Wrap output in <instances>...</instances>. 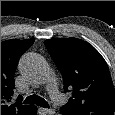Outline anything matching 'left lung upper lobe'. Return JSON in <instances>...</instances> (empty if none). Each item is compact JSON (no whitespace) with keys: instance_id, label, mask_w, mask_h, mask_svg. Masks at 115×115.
<instances>
[{"instance_id":"obj_1","label":"left lung upper lobe","mask_w":115,"mask_h":115,"mask_svg":"<svg viewBox=\"0 0 115 115\" xmlns=\"http://www.w3.org/2000/svg\"><path fill=\"white\" fill-rule=\"evenodd\" d=\"M45 45L63 76L64 91L72 97L63 115H113L115 89L108 66L89 43L77 38L49 39Z\"/></svg>"}]
</instances>
